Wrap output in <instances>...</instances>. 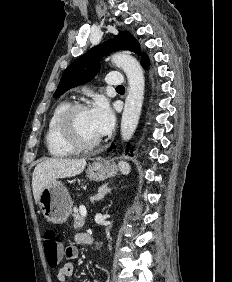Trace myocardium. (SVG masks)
<instances>
[{
    "instance_id": "1",
    "label": "myocardium",
    "mask_w": 232,
    "mask_h": 282,
    "mask_svg": "<svg viewBox=\"0 0 232 282\" xmlns=\"http://www.w3.org/2000/svg\"><path fill=\"white\" fill-rule=\"evenodd\" d=\"M89 106L83 102L70 104L62 113L59 120V134L61 139L75 150L83 151L95 148L101 143V138L94 141H83L76 131V116L79 112L88 110Z\"/></svg>"
}]
</instances>
